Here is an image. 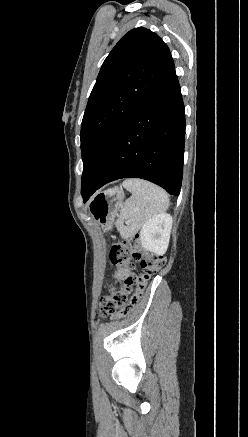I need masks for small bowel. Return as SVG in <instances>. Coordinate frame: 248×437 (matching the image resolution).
<instances>
[{"instance_id": "obj_1", "label": "small bowel", "mask_w": 248, "mask_h": 437, "mask_svg": "<svg viewBox=\"0 0 248 437\" xmlns=\"http://www.w3.org/2000/svg\"><path fill=\"white\" fill-rule=\"evenodd\" d=\"M126 272H127V271H126L125 269H123V268H119V269H117L116 272L114 273V277H115L116 279H121V278H123V277L125 276Z\"/></svg>"}]
</instances>
